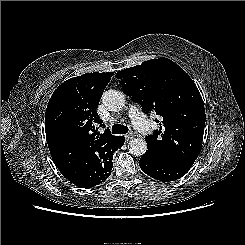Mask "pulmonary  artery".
<instances>
[{"label":"pulmonary artery","mask_w":245,"mask_h":245,"mask_svg":"<svg viewBox=\"0 0 245 245\" xmlns=\"http://www.w3.org/2000/svg\"><path fill=\"white\" fill-rule=\"evenodd\" d=\"M129 116L133 126L143 135H148L152 130V124L145 117L141 109L135 105L129 108Z\"/></svg>","instance_id":"pulmonary-artery-1"}]
</instances>
